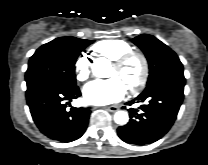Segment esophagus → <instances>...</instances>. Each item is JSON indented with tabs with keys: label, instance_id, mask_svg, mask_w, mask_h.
I'll list each match as a JSON object with an SVG mask.
<instances>
[{
	"label": "esophagus",
	"instance_id": "obj_1",
	"mask_svg": "<svg viewBox=\"0 0 208 165\" xmlns=\"http://www.w3.org/2000/svg\"><path fill=\"white\" fill-rule=\"evenodd\" d=\"M104 109H106L110 112H116L119 108H118V106H107V107H104Z\"/></svg>",
	"mask_w": 208,
	"mask_h": 165
}]
</instances>
